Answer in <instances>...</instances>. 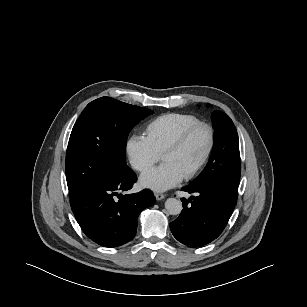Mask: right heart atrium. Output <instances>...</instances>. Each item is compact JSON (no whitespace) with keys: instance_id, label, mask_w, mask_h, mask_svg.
<instances>
[{"instance_id":"right-heart-atrium-1","label":"right heart atrium","mask_w":307,"mask_h":307,"mask_svg":"<svg viewBox=\"0 0 307 307\" xmlns=\"http://www.w3.org/2000/svg\"><path fill=\"white\" fill-rule=\"evenodd\" d=\"M126 150L132 167L139 172L146 171L160 159V154L142 135H132L127 141Z\"/></svg>"}]
</instances>
